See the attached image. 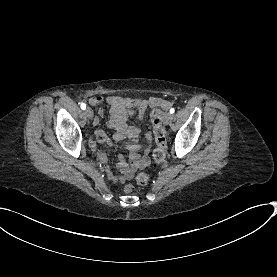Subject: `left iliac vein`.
I'll use <instances>...</instances> for the list:
<instances>
[{
    "mask_svg": "<svg viewBox=\"0 0 277 277\" xmlns=\"http://www.w3.org/2000/svg\"><path fill=\"white\" fill-rule=\"evenodd\" d=\"M172 115L171 113H166L163 118L164 125H168L171 122Z\"/></svg>",
    "mask_w": 277,
    "mask_h": 277,
    "instance_id": "1",
    "label": "left iliac vein"
}]
</instances>
